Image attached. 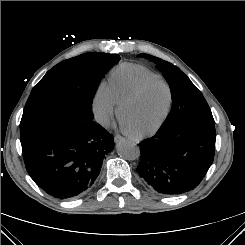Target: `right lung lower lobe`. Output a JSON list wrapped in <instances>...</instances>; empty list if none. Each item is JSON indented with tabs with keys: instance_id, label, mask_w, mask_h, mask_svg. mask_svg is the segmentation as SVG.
<instances>
[{
	"instance_id": "right-lung-lower-lobe-1",
	"label": "right lung lower lobe",
	"mask_w": 245,
	"mask_h": 245,
	"mask_svg": "<svg viewBox=\"0 0 245 245\" xmlns=\"http://www.w3.org/2000/svg\"><path fill=\"white\" fill-rule=\"evenodd\" d=\"M113 136L93 120L65 124L22 145L33 181L59 199L85 194L94 184Z\"/></svg>"
}]
</instances>
